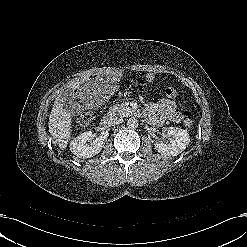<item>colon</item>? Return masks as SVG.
<instances>
[{
  "label": "colon",
  "mask_w": 247,
  "mask_h": 247,
  "mask_svg": "<svg viewBox=\"0 0 247 247\" xmlns=\"http://www.w3.org/2000/svg\"><path fill=\"white\" fill-rule=\"evenodd\" d=\"M177 93H178V90L174 86H168L165 89V94L167 97H170V98L175 97ZM181 117H182L183 122L187 126H191L193 124V119L188 111L182 112ZM93 118L94 116L91 112H84L77 118V125L80 127L86 126L93 120Z\"/></svg>",
  "instance_id": "5ec220e1"
}]
</instances>
